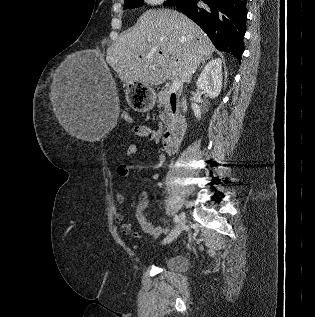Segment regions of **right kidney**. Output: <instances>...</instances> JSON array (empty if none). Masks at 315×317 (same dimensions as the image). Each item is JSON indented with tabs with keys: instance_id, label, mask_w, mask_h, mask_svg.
Masks as SVG:
<instances>
[{
	"instance_id": "1",
	"label": "right kidney",
	"mask_w": 315,
	"mask_h": 317,
	"mask_svg": "<svg viewBox=\"0 0 315 317\" xmlns=\"http://www.w3.org/2000/svg\"><path fill=\"white\" fill-rule=\"evenodd\" d=\"M198 89L205 92L210 98H216L222 88V61L219 58L211 60L203 69L197 80ZM191 108L196 118H201L198 104L192 103Z\"/></svg>"
}]
</instances>
